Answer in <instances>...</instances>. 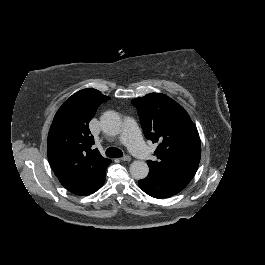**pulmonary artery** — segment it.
<instances>
[{"mask_svg":"<svg viewBox=\"0 0 265 265\" xmlns=\"http://www.w3.org/2000/svg\"><path fill=\"white\" fill-rule=\"evenodd\" d=\"M125 130L118 134V140L122 144L128 143V149L138 156L142 163H147L151 159L150 151L144 146L141 140L139 126L133 117H128L124 121ZM111 141L115 140V136H111Z\"/></svg>","mask_w":265,"mask_h":265,"instance_id":"pulmonary-artery-1","label":"pulmonary artery"}]
</instances>
